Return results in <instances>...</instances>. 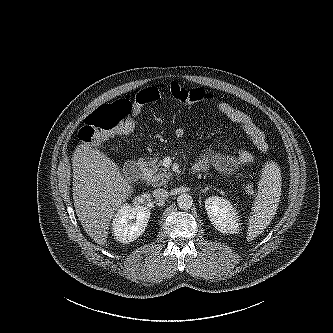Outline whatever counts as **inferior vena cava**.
<instances>
[{
    "mask_svg": "<svg viewBox=\"0 0 333 333\" xmlns=\"http://www.w3.org/2000/svg\"><path fill=\"white\" fill-rule=\"evenodd\" d=\"M169 192L163 188H157L153 191V197L158 200H163L168 198Z\"/></svg>",
    "mask_w": 333,
    "mask_h": 333,
    "instance_id": "inferior-vena-cava-1",
    "label": "inferior vena cava"
}]
</instances>
